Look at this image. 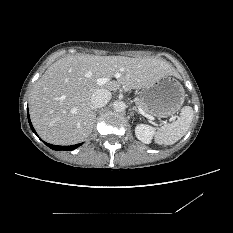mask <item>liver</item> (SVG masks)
Returning <instances> with one entry per match:
<instances>
[{"label": "liver", "mask_w": 233, "mask_h": 233, "mask_svg": "<svg viewBox=\"0 0 233 233\" xmlns=\"http://www.w3.org/2000/svg\"><path fill=\"white\" fill-rule=\"evenodd\" d=\"M117 81L97 84L102 77ZM177 76L168 62L156 58L77 54L63 57L45 71L34 85L29 102L32 123L42 139L72 145L92 132L96 115L91 97L99 89L121 86L143 89L165 76Z\"/></svg>", "instance_id": "obj_1"}]
</instances>
